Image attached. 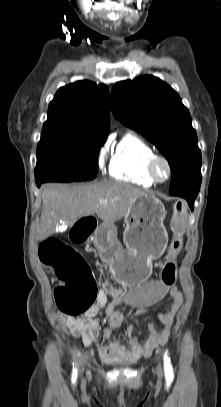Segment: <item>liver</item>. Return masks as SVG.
Returning a JSON list of instances; mask_svg holds the SVG:
<instances>
[{"mask_svg":"<svg viewBox=\"0 0 221 407\" xmlns=\"http://www.w3.org/2000/svg\"><path fill=\"white\" fill-rule=\"evenodd\" d=\"M144 194L130 184L115 181L77 186L45 184L37 238L40 241L48 238L59 221L73 225L79 218L94 214L105 223L113 224L125 217L133 201ZM99 200L107 202L99 204Z\"/></svg>","mask_w":221,"mask_h":407,"instance_id":"1","label":"liver"}]
</instances>
